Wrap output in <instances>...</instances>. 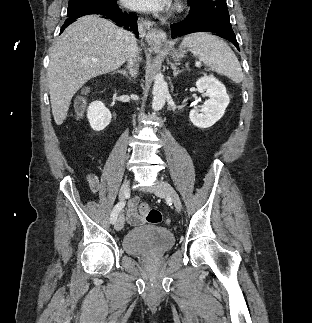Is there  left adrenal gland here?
I'll return each instance as SVG.
<instances>
[{
    "instance_id": "left-adrenal-gland-1",
    "label": "left adrenal gland",
    "mask_w": 312,
    "mask_h": 323,
    "mask_svg": "<svg viewBox=\"0 0 312 323\" xmlns=\"http://www.w3.org/2000/svg\"><path fill=\"white\" fill-rule=\"evenodd\" d=\"M172 70H173V76L176 78L177 74H180L179 70H177V66L175 64H170Z\"/></svg>"
}]
</instances>
